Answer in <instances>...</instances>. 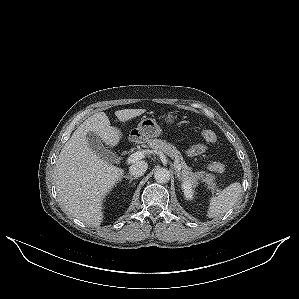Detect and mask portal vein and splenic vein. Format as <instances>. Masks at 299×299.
<instances>
[{
  "mask_svg": "<svg viewBox=\"0 0 299 299\" xmlns=\"http://www.w3.org/2000/svg\"><path fill=\"white\" fill-rule=\"evenodd\" d=\"M144 151H137L135 153H133L132 155H130L128 158H127V163H134L140 159H142L144 157ZM176 168L178 171H180L181 167L180 165H176Z\"/></svg>",
  "mask_w": 299,
  "mask_h": 299,
  "instance_id": "1",
  "label": "portal vein and splenic vein"
}]
</instances>
